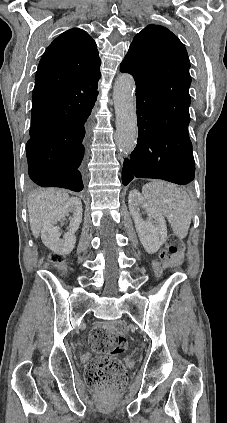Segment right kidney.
<instances>
[{
    "label": "right kidney",
    "mask_w": 227,
    "mask_h": 423,
    "mask_svg": "<svg viewBox=\"0 0 227 423\" xmlns=\"http://www.w3.org/2000/svg\"><path fill=\"white\" fill-rule=\"evenodd\" d=\"M73 213L70 219L68 231L64 233L63 239H60V229L57 227V221H61L65 215ZM82 221V202L79 198H70L63 206H58L48 213L43 221L41 229V239L49 249L60 255H67L74 249L76 243L75 231H77Z\"/></svg>",
    "instance_id": "right-kidney-1"
}]
</instances>
